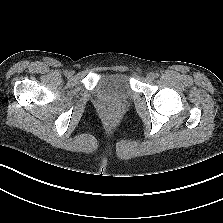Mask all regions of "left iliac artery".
I'll return each instance as SVG.
<instances>
[{"label":"left iliac artery","mask_w":223,"mask_h":223,"mask_svg":"<svg viewBox=\"0 0 223 223\" xmlns=\"http://www.w3.org/2000/svg\"><path fill=\"white\" fill-rule=\"evenodd\" d=\"M159 74L158 73H155V78H158Z\"/></svg>","instance_id":"obj_1"}]
</instances>
